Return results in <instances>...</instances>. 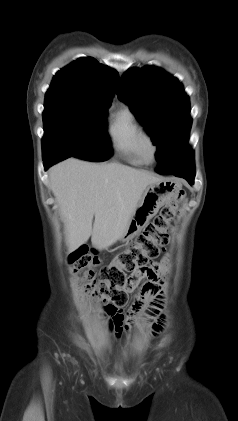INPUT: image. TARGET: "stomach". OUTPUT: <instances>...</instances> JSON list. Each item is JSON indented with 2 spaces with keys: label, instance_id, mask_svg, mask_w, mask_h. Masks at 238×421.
Listing matches in <instances>:
<instances>
[{
  "label": "stomach",
  "instance_id": "1",
  "mask_svg": "<svg viewBox=\"0 0 238 421\" xmlns=\"http://www.w3.org/2000/svg\"><path fill=\"white\" fill-rule=\"evenodd\" d=\"M178 191L179 185L170 179H162L150 184L131 214L120 240L123 242L132 240L158 213L159 209L174 198Z\"/></svg>",
  "mask_w": 238,
  "mask_h": 421
}]
</instances>
